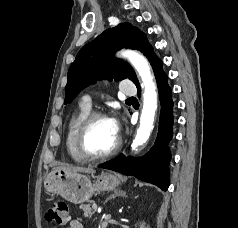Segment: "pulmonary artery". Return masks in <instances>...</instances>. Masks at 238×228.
<instances>
[{"instance_id": "e3ab8cb5", "label": "pulmonary artery", "mask_w": 238, "mask_h": 228, "mask_svg": "<svg viewBox=\"0 0 238 228\" xmlns=\"http://www.w3.org/2000/svg\"><path fill=\"white\" fill-rule=\"evenodd\" d=\"M121 92L123 95L127 96L134 95L136 93V87L131 80L125 79L121 83ZM82 103L90 107L91 106L90 97H84Z\"/></svg>"}]
</instances>
